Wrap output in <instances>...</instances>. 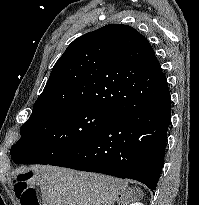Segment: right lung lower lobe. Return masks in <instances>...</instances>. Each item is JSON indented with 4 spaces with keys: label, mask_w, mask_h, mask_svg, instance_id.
I'll return each mask as SVG.
<instances>
[{
    "label": "right lung lower lobe",
    "mask_w": 199,
    "mask_h": 205,
    "mask_svg": "<svg viewBox=\"0 0 199 205\" xmlns=\"http://www.w3.org/2000/svg\"><path fill=\"white\" fill-rule=\"evenodd\" d=\"M94 138L50 165L137 180L154 191L164 165L171 96L164 73Z\"/></svg>",
    "instance_id": "1"
}]
</instances>
